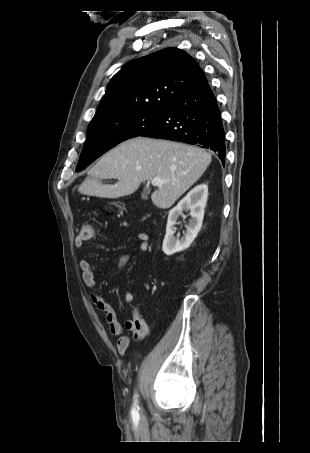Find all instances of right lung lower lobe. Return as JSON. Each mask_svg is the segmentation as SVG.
<instances>
[{
    "label": "right lung lower lobe",
    "mask_w": 310,
    "mask_h": 453,
    "mask_svg": "<svg viewBox=\"0 0 310 453\" xmlns=\"http://www.w3.org/2000/svg\"><path fill=\"white\" fill-rule=\"evenodd\" d=\"M139 136L201 145L225 161L221 113L206 78L168 105L159 120Z\"/></svg>",
    "instance_id": "98d812e1"
}]
</instances>
